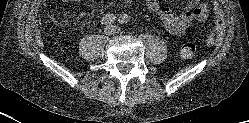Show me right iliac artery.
Here are the masks:
<instances>
[{
	"instance_id": "1",
	"label": "right iliac artery",
	"mask_w": 249,
	"mask_h": 123,
	"mask_svg": "<svg viewBox=\"0 0 249 123\" xmlns=\"http://www.w3.org/2000/svg\"><path fill=\"white\" fill-rule=\"evenodd\" d=\"M115 18H116L115 15L112 13L106 14L105 16L101 18V24L110 25L111 23L115 21Z\"/></svg>"
}]
</instances>
